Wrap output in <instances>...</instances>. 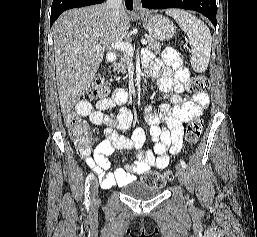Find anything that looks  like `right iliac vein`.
Segmentation results:
<instances>
[{"mask_svg":"<svg viewBox=\"0 0 257 237\" xmlns=\"http://www.w3.org/2000/svg\"><path fill=\"white\" fill-rule=\"evenodd\" d=\"M90 198L92 207L99 204L100 198L98 194V181L96 179H93L90 185Z\"/></svg>","mask_w":257,"mask_h":237,"instance_id":"right-iliac-vein-1","label":"right iliac vein"}]
</instances>
